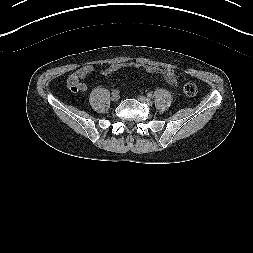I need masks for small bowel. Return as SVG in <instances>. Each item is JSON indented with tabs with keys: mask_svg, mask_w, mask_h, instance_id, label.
Masks as SVG:
<instances>
[{
	"mask_svg": "<svg viewBox=\"0 0 253 253\" xmlns=\"http://www.w3.org/2000/svg\"><path fill=\"white\" fill-rule=\"evenodd\" d=\"M123 64L120 63H114L111 64L107 69L103 71V74L107 75L110 74L121 67H123ZM128 66L133 67V68H143L146 72L148 73H156L160 76H162L169 84L176 86L177 85V77L174 71L170 69H164V68H158V67H153L150 65H145L137 62H133L128 64ZM93 71V66L91 65H85L81 67L77 72L82 76L85 77L86 75L90 74ZM79 90L82 92H85L87 90V85L86 83L80 81L79 83Z\"/></svg>",
	"mask_w": 253,
	"mask_h": 253,
	"instance_id": "c3829d8e",
	"label": "small bowel"
}]
</instances>
